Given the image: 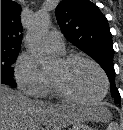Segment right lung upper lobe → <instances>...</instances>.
Listing matches in <instances>:
<instances>
[{
  "label": "right lung upper lobe",
  "mask_w": 123,
  "mask_h": 130,
  "mask_svg": "<svg viewBox=\"0 0 123 130\" xmlns=\"http://www.w3.org/2000/svg\"><path fill=\"white\" fill-rule=\"evenodd\" d=\"M21 6L12 0L1 1V50H19L22 40Z\"/></svg>",
  "instance_id": "right-lung-upper-lobe-1"
}]
</instances>
